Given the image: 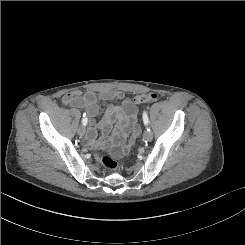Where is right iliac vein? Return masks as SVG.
Wrapping results in <instances>:
<instances>
[{
	"label": "right iliac vein",
	"instance_id": "1",
	"mask_svg": "<svg viewBox=\"0 0 245 245\" xmlns=\"http://www.w3.org/2000/svg\"><path fill=\"white\" fill-rule=\"evenodd\" d=\"M78 134L80 136H83L85 134V127L84 125H81L79 128H78Z\"/></svg>",
	"mask_w": 245,
	"mask_h": 245
}]
</instances>
